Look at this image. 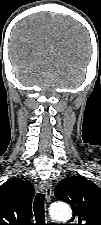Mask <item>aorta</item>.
Returning a JSON list of instances; mask_svg holds the SVG:
<instances>
[{
	"label": "aorta",
	"mask_w": 101,
	"mask_h": 225,
	"mask_svg": "<svg viewBox=\"0 0 101 225\" xmlns=\"http://www.w3.org/2000/svg\"><path fill=\"white\" fill-rule=\"evenodd\" d=\"M50 216L57 221H66L71 218L72 211L67 204L56 203L50 208Z\"/></svg>",
	"instance_id": "1"
}]
</instances>
